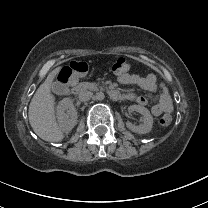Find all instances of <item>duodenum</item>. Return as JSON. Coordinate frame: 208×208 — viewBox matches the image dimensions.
Masks as SVG:
<instances>
[{"label": "duodenum", "instance_id": "410a0bca", "mask_svg": "<svg viewBox=\"0 0 208 208\" xmlns=\"http://www.w3.org/2000/svg\"><path fill=\"white\" fill-rule=\"evenodd\" d=\"M86 87L87 86L85 84H78L72 88V94H79L83 92L86 89ZM109 95L112 99L117 101L124 100L127 98L125 94L115 89L109 90Z\"/></svg>", "mask_w": 208, "mask_h": 208}]
</instances>
